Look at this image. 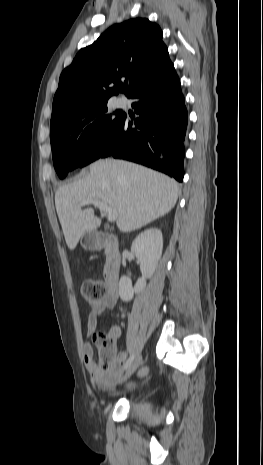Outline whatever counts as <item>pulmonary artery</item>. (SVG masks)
<instances>
[{
    "instance_id": "1",
    "label": "pulmonary artery",
    "mask_w": 263,
    "mask_h": 465,
    "mask_svg": "<svg viewBox=\"0 0 263 465\" xmlns=\"http://www.w3.org/2000/svg\"><path fill=\"white\" fill-rule=\"evenodd\" d=\"M115 104H116L117 107H122V106H124L125 102L122 99H117Z\"/></svg>"
}]
</instances>
